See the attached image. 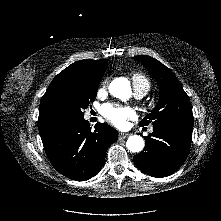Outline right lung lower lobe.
Instances as JSON below:
<instances>
[{
    "mask_svg": "<svg viewBox=\"0 0 221 221\" xmlns=\"http://www.w3.org/2000/svg\"><path fill=\"white\" fill-rule=\"evenodd\" d=\"M40 135L53 167L67 178L84 181L102 169L118 131L106 123H97L91 131L89 122L78 118Z\"/></svg>",
    "mask_w": 221,
    "mask_h": 221,
    "instance_id": "right-lung-lower-lobe-1",
    "label": "right lung lower lobe"
}]
</instances>
